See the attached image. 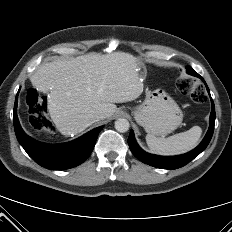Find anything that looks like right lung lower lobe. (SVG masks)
Here are the masks:
<instances>
[{"label": "right lung lower lobe", "instance_id": "right-lung-lower-lobe-1", "mask_svg": "<svg viewBox=\"0 0 232 232\" xmlns=\"http://www.w3.org/2000/svg\"><path fill=\"white\" fill-rule=\"evenodd\" d=\"M17 99L18 95L15 100L13 116L15 134L21 146L36 163L48 169L64 170L83 163L89 157L103 126L91 130L74 141L63 144L37 142L27 136L19 124L16 113Z\"/></svg>", "mask_w": 232, "mask_h": 232}]
</instances>
